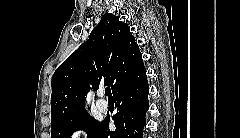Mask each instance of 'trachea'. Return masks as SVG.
<instances>
[{
  "instance_id": "3493384b",
  "label": "trachea",
  "mask_w": 240,
  "mask_h": 138,
  "mask_svg": "<svg viewBox=\"0 0 240 138\" xmlns=\"http://www.w3.org/2000/svg\"><path fill=\"white\" fill-rule=\"evenodd\" d=\"M105 94H106V96H108L109 98H112L110 87H107V88L105 89Z\"/></svg>"
}]
</instances>
